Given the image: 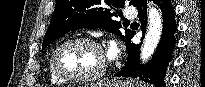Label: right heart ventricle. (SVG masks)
<instances>
[{"label":"right heart ventricle","instance_id":"obj_1","mask_svg":"<svg viewBox=\"0 0 205 87\" xmlns=\"http://www.w3.org/2000/svg\"><path fill=\"white\" fill-rule=\"evenodd\" d=\"M49 75H50V80L53 84L55 85H61L64 84L65 82L61 79H59L53 72L51 69V65L49 64Z\"/></svg>","mask_w":205,"mask_h":87}]
</instances>
